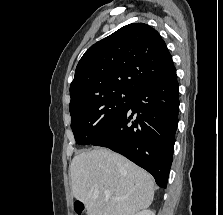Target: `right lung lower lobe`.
Instances as JSON below:
<instances>
[{
    "instance_id": "1",
    "label": "right lung lower lobe",
    "mask_w": 223,
    "mask_h": 215,
    "mask_svg": "<svg viewBox=\"0 0 223 215\" xmlns=\"http://www.w3.org/2000/svg\"><path fill=\"white\" fill-rule=\"evenodd\" d=\"M178 109L175 73L165 80L140 88L121 119L91 144L124 155L150 172L158 186L166 188L173 158Z\"/></svg>"
}]
</instances>
